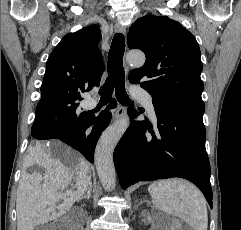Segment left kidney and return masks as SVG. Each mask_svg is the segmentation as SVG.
Instances as JSON below:
<instances>
[{
	"label": "left kidney",
	"instance_id": "5707ae66",
	"mask_svg": "<svg viewBox=\"0 0 241 230\" xmlns=\"http://www.w3.org/2000/svg\"><path fill=\"white\" fill-rule=\"evenodd\" d=\"M181 229L177 225H174L173 227L169 228L168 226H152L150 230H178Z\"/></svg>",
	"mask_w": 241,
	"mask_h": 230
}]
</instances>
